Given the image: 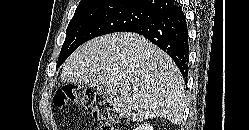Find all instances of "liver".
I'll list each match as a JSON object with an SVG mask.
<instances>
[{
	"mask_svg": "<svg viewBox=\"0 0 249 130\" xmlns=\"http://www.w3.org/2000/svg\"><path fill=\"white\" fill-rule=\"evenodd\" d=\"M61 80L105 85L111 105L132 121L164 117L179 124L182 120L181 72L164 51L136 33L108 34L84 43L64 63Z\"/></svg>",
	"mask_w": 249,
	"mask_h": 130,
	"instance_id": "6515ba94",
	"label": "liver"
}]
</instances>
